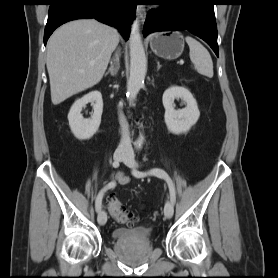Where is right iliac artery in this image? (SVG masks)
I'll use <instances>...</instances> for the list:
<instances>
[{"instance_id":"82829eb1","label":"right iliac artery","mask_w":278,"mask_h":278,"mask_svg":"<svg viewBox=\"0 0 278 278\" xmlns=\"http://www.w3.org/2000/svg\"><path fill=\"white\" fill-rule=\"evenodd\" d=\"M113 167L118 168L119 167V162L118 161L113 162ZM114 186H115V183L110 182L104 188H102L100 190V192L98 193L96 201H95V208H96L97 212L100 211V209H101L102 199H103V196H104L105 192L108 189L113 188Z\"/></svg>"}]
</instances>
